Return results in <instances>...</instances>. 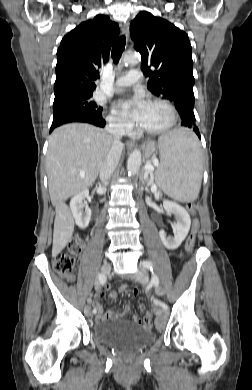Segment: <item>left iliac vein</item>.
Returning a JSON list of instances; mask_svg holds the SVG:
<instances>
[{"label":"left iliac vein","instance_id":"left-iliac-vein-1","mask_svg":"<svg viewBox=\"0 0 252 390\" xmlns=\"http://www.w3.org/2000/svg\"><path fill=\"white\" fill-rule=\"evenodd\" d=\"M134 278L141 283H147L148 274H147L146 269L144 267H140L136 271ZM157 293H159L161 295L164 294V289L162 287H158ZM153 310H154V313L157 315L159 320H161L164 317V315L166 314V310H163V309L159 308L158 306H154Z\"/></svg>","mask_w":252,"mask_h":390}]
</instances>
